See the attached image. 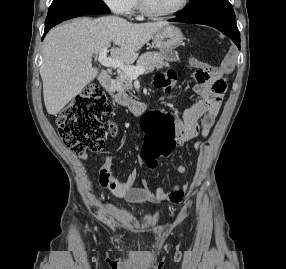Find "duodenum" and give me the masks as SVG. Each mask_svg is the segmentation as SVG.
I'll return each mask as SVG.
<instances>
[{"instance_id":"410a0bca","label":"duodenum","mask_w":286,"mask_h":269,"mask_svg":"<svg viewBox=\"0 0 286 269\" xmlns=\"http://www.w3.org/2000/svg\"><path fill=\"white\" fill-rule=\"evenodd\" d=\"M100 79H101V83H102L103 87L110 94L113 95L114 94V81H113V78L111 77V75L107 71L102 70L100 72ZM114 100L116 102H118L120 105L128 107L129 110L135 115L141 114L144 110V105L140 102H137L134 100H128L126 98L116 97V96H114Z\"/></svg>"}]
</instances>
